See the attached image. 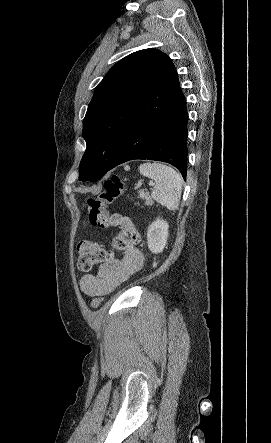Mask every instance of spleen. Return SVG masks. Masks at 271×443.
<instances>
[{
	"mask_svg": "<svg viewBox=\"0 0 271 443\" xmlns=\"http://www.w3.org/2000/svg\"><path fill=\"white\" fill-rule=\"evenodd\" d=\"M139 172L142 176L154 180L152 198L167 210H179L181 190L183 186L180 174H177L170 166L164 164H141Z\"/></svg>",
	"mask_w": 271,
	"mask_h": 443,
	"instance_id": "3e777b00",
	"label": "spleen"
}]
</instances>
